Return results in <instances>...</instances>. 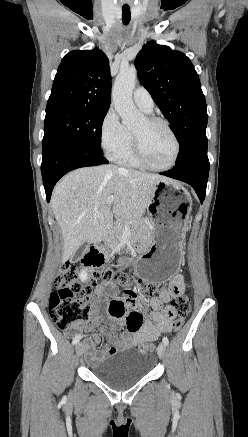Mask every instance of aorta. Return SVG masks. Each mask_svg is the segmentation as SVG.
<instances>
[{
    "instance_id": "obj_1",
    "label": "aorta",
    "mask_w": 248,
    "mask_h": 437,
    "mask_svg": "<svg viewBox=\"0 0 248 437\" xmlns=\"http://www.w3.org/2000/svg\"><path fill=\"white\" fill-rule=\"evenodd\" d=\"M137 71L135 68L122 69L118 73L112 92V99L124 126H135L143 117L136 109L132 99Z\"/></svg>"
}]
</instances>
